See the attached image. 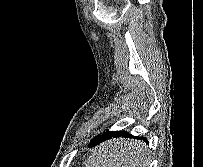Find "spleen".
I'll return each instance as SVG.
<instances>
[{
  "label": "spleen",
  "instance_id": "1",
  "mask_svg": "<svg viewBox=\"0 0 203 167\" xmlns=\"http://www.w3.org/2000/svg\"><path fill=\"white\" fill-rule=\"evenodd\" d=\"M137 145V144H136ZM148 154L142 149L133 153L114 149L111 145H104L102 149L94 151L86 162V167H146Z\"/></svg>",
  "mask_w": 203,
  "mask_h": 167
}]
</instances>
